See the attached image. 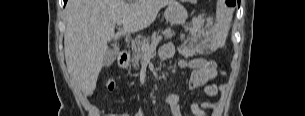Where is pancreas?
Segmentation results:
<instances>
[{
	"mask_svg": "<svg viewBox=\"0 0 305 116\" xmlns=\"http://www.w3.org/2000/svg\"><path fill=\"white\" fill-rule=\"evenodd\" d=\"M161 33L166 39H172V37L174 36V32L169 27L166 28L164 31H161ZM153 35H158V33L154 32ZM149 42H150V38H143L137 41L136 44L134 45L131 61H132V65L135 68L139 67V63L143 58L144 52L141 50L142 45L149 44Z\"/></svg>",
	"mask_w": 305,
	"mask_h": 116,
	"instance_id": "cf45deb5",
	"label": "pancreas"
}]
</instances>
